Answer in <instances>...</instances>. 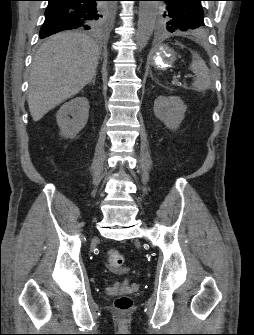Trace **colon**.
Instances as JSON below:
<instances>
[{"label":"colon","instance_id":"obj_1","mask_svg":"<svg viewBox=\"0 0 254 335\" xmlns=\"http://www.w3.org/2000/svg\"><path fill=\"white\" fill-rule=\"evenodd\" d=\"M125 262L124 254L118 250L108 252V265L112 270H119ZM115 308L120 312H127L131 309L133 302L128 296H120L114 302Z\"/></svg>","mask_w":254,"mask_h":335}]
</instances>
